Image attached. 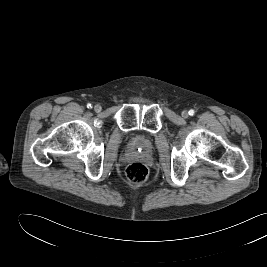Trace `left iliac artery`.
<instances>
[{
	"label": "left iliac artery",
	"instance_id": "44dca946",
	"mask_svg": "<svg viewBox=\"0 0 267 267\" xmlns=\"http://www.w3.org/2000/svg\"><path fill=\"white\" fill-rule=\"evenodd\" d=\"M188 113H189L190 116H193L195 114V111L193 109H191V110H189Z\"/></svg>",
	"mask_w": 267,
	"mask_h": 267
}]
</instances>
